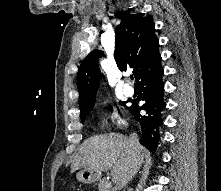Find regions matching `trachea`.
Masks as SVG:
<instances>
[{
    "instance_id": "obj_1",
    "label": "trachea",
    "mask_w": 221,
    "mask_h": 191,
    "mask_svg": "<svg viewBox=\"0 0 221 191\" xmlns=\"http://www.w3.org/2000/svg\"><path fill=\"white\" fill-rule=\"evenodd\" d=\"M131 80H133V76H130Z\"/></svg>"
}]
</instances>
